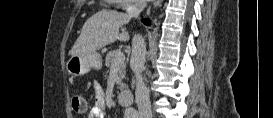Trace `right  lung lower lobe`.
<instances>
[{"instance_id":"1","label":"right lung lower lobe","mask_w":273,"mask_h":118,"mask_svg":"<svg viewBox=\"0 0 273 118\" xmlns=\"http://www.w3.org/2000/svg\"><path fill=\"white\" fill-rule=\"evenodd\" d=\"M143 22H144L146 25H149V21H148V20H143Z\"/></svg>"}]
</instances>
